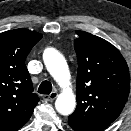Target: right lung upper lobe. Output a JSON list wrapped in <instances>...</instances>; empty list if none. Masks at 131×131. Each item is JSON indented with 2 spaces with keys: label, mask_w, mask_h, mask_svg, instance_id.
<instances>
[{
  "label": "right lung upper lobe",
  "mask_w": 131,
  "mask_h": 131,
  "mask_svg": "<svg viewBox=\"0 0 131 131\" xmlns=\"http://www.w3.org/2000/svg\"><path fill=\"white\" fill-rule=\"evenodd\" d=\"M41 38L40 33L27 29L0 34V131L21 128L39 101L25 59Z\"/></svg>",
  "instance_id": "1"
}]
</instances>
